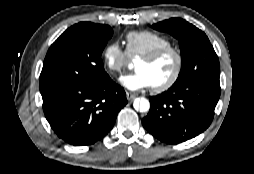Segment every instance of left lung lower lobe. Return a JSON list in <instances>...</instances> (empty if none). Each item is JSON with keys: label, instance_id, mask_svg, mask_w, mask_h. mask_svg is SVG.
Here are the masks:
<instances>
[{"label": "left lung lower lobe", "instance_id": "left-lung-lower-lobe-1", "mask_svg": "<svg viewBox=\"0 0 254 174\" xmlns=\"http://www.w3.org/2000/svg\"><path fill=\"white\" fill-rule=\"evenodd\" d=\"M220 92L217 81L172 86L162 94L149 97L150 111L142 124L151 135L167 144L194 138L211 124Z\"/></svg>", "mask_w": 254, "mask_h": 174}]
</instances>
